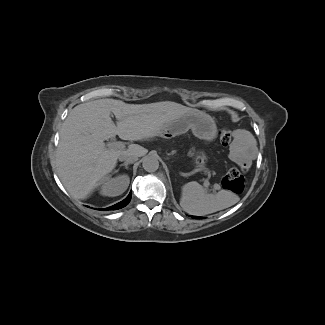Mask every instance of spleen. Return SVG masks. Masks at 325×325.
<instances>
[{"label": "spleen", "mask_w": 325, "mask_h": 325, "mask_svg": "<svg viewBox=\"0 0 325 325\" xmlns=\"http://www.w3.org/2000/svg\"><path fill=\"white\" fill-rule=\"evenodd\" d=\"M180 205L191 215L203 216L230 207L233 202L228 199L227 192L209 194L199 183L193 181L182 187Z\"/></svg>", "instance_id": "spleen-1"}]
</instances>
